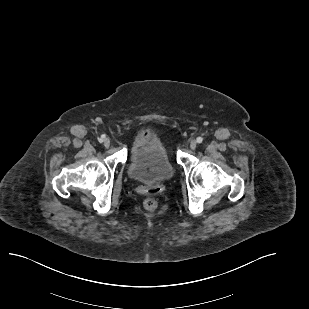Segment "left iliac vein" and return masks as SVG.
Instances as JSON below:
<instances>
[{
  "mask_svg": "<svg viewBox=\"0 0 309 309\" xmlns=\"http://www.w3.org/2000/svg\"><path fill=\"white\" fill-rule=\"evenodd\" d=\"M196 146H197V142L195 140H192L190 142V148L194 150L196 148Z\"/></svg>",
  "mask_w": 309,
  "mask_h": 309,
  "instance_id": "obj_1",
  "label": "left iliac vein"
}]
</instances>
